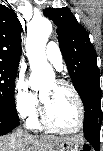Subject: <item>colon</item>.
I'll return each mask as SVG.
<instances>
[{
	"instance_id": "1",
	"label": "colon",
	"mask_w": 103,
	"mask_h": 151,
	"mask_svg": "<svg viewBox=\"0 0 103 151\" xmlns=\"http://www.w3.org/2000/svg\"><path fill=\"white\" fill-rule=\"evenodd\" d=\"M83 151H91L88 147H85Z\"/></svg>"
}]
</instances>
